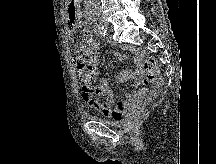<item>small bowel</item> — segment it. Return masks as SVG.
<instances>
[{"mask_svg":"<svg viewBox=\"0 0 216 164\" xmlns=\"http://www.w3.org/2000/svg\"><path fill=\"white\" fill-rule=\"evenodd\" d=\"M75 46L77 51L82 55L76 58V65H78V62L83 60V56H85L89 58L88 63L96 70L97 66L100 64L101 55L98 52V43L89 29L83 31V41L81 43H76ZM135 61L137 63L136 69L123 71L119 76L120 81L128 82L129 80H136L144 74L139 54H136ZM81 77L83 80V100L93 109L102 112L104 116L114 120H122L130 115L147 92L145 88H141L135 93L127 94L125 102L114 106L113 93L108 87L105 79H102L100 85L93 87L88 83L86 77ZM96 96H103L104 101L99 102L95 98Z\"/></svg>","mask_w":216,"mask_h":164,"instance_id":"small-bowel-1","label":"small bowel"}]
</instances>
